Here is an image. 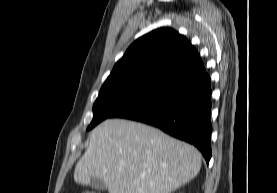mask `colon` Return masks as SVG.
Segmentation results:
<instances>
[{"instance_id": "5ec220e1", "label": "colon", "mask_w": 277, "mask_h": 193, "mask_svg": "<svg viewBox=\"0 0 277 193\" xmlns=\"http://www.w3.org/2000/svg\"><path fill=\"white\" fill-rule=\"evenodd\" d=\"M83 193H96V192H90V191H86V192H83Z\"/></svg>"}]
</instances>
